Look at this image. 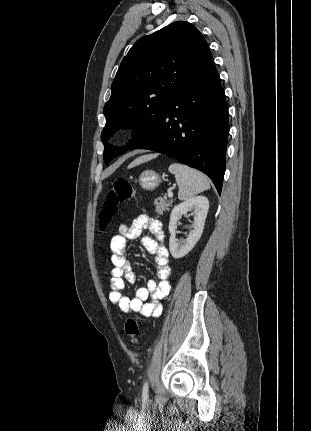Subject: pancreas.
Here are the masks:
<instances>
[{
	"label": "pancreas",
	"instance_id": "1",
	"mask_svg": "<svg viewBox=\"0 0 311 431\" xmlns=\"http://www.w3.org/2000/svg\"><path fill=\"white\" fill-rule=\"evenodd\" d=\"M174 200H163V198H158V200H154V206L156 208L155 212L160 214V216H164L165 212H169L170 206H172Z\"/></svg>",
	"mask_w": 311,
	"mask_h": 431
}]
</instances>
